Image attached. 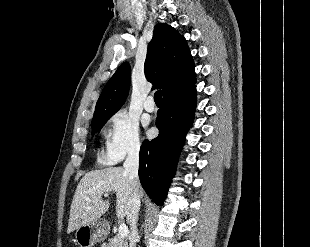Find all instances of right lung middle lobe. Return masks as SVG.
<instances>
[{
    "label": "right lung middle lobe",
    "mask_w": 310,
    "mask_h": 247,
    "mask_svg": "<svg viewBox=\"0 0 310 247\" xmlns=\"http://www.w3.org/2000/svg\"><path fill=\"white\" fill-rule=\"evenodd\" d=\"M109 118L110 117H104L92 122V135L99 132Z\"/></svg>",
    "instance_id": "dd1d6c3e"
}]
</instances>
